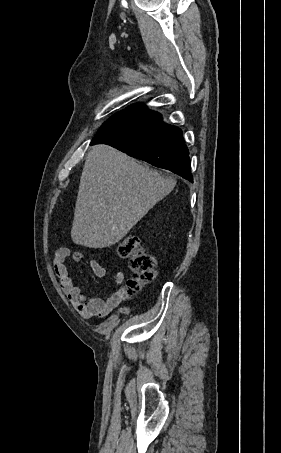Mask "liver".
Listing matches in <instances>:
<instances>
[{
  "label": "liver",
  "instance_id": "obj_1",
  "mask_svg": "<svg viewBox=\"0 0 281 453\" xmlns=\"http://www.w3.org/2000/svg\"><path fill=\"white\" fill-rule=\"evenodd\" d=\"M175 184L112 146H92L80 176L73 243L89 249L115 245Z\"/></svg>",
  "mask_w": 281,
  "mask_h": 453
}]
</instances>
